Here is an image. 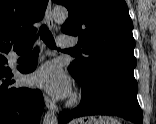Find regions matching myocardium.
<instances>
[{"mask_svg": "<svg viewBox=\"0 0 156 124\" xmlns=\"http://www.w3.org/2000/svg\"><path fill=\"white\" fill-rule=\"evenodd\" d=\"M80 101H81V94L79 92L75 91L70 95V97L67 101V105L69 107H75L80 103Z\"/></svg>", "mask_w": 156, "mask_h": 124, "instance_id": "1", "label": "myocardium"}]
</instances>
